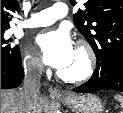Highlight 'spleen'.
I'll list each match as a JSON object with an SVG mask.
<instances>
[{
    "label": "spleen",
    "instance_id": "obj_1",
    "mask_svg": "<svg viewBox=\"0 0 123 113\" xmlns=\"http://www.w3.org/2000/svg\"><path fill=\"white\" fill-rule=\"evenodd\" d=\"M115 99H117L118 101H120V103H121V108L123 109V97L120 96V95H116V96H115Z\"/></svg>",
    "mask_w": 123,
    "mask_h": 113
}]
</instances>
